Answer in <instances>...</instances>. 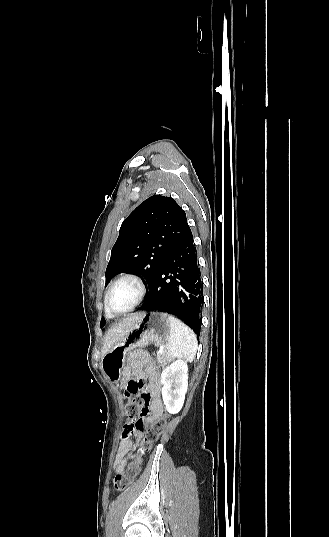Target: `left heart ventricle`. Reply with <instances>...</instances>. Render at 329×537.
<instances>
[{
  "instance_id": "1",
  "label": "left heart ventricle",
  "mask_w": 329,
  "mask_h": 537,
  "mask_svg": "<svg viewBox=\"0 0 329 537\" xmlns=\"http://www.w3.org/2000/svg\"><path fill=\"white\" fill-rule=\"evenodd\" d=\"M139 296V288L133 281L119 283L110 295L111 308L116 312L129 309Z\"/></svg>"
}]
</instances>
